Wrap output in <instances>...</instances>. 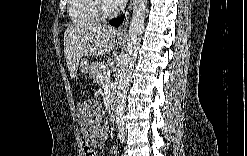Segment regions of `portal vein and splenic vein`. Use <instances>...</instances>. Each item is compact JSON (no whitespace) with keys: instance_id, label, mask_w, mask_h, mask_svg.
<instances>
[{"instance_id":"18ae733b","label":"portal vein and splenic vein","mask_w":247,"mask_h":156,"mask_svg":"<svg viewBox=\"0 0 247 156\" xmlns=\"http://www.w3.org/2000/svg\"><path fill=\"white\" fill-rule=\"evenodd\" d=\"M110 76H111V72L108 71L106 74H105V80L108 81L110 79Z\"/></svg>"}]
</instances>
